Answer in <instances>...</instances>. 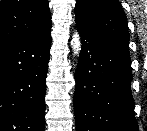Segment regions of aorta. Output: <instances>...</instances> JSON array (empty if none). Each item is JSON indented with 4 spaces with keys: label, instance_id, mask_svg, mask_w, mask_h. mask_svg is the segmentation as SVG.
<instances>
[{
    "label": "aorta",
    "instance_id": "1",
    "mask_svg": "<svg viewBox=\"0 0 147 131\" xmlns=\"http://www.w3.org/2000/svg\"><path fill=\"white\" fill-rule=\"evenodd\" d=\"M71 44H72V47L74 50V54H76V55L79 54L81 42H80L79 34L77 32L73 35Z\"/></svg>",
    "mask_w": 147,
    "mask_h": 131
}]
</instances>
